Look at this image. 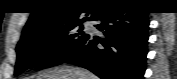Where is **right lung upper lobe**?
Listing matches in <instances>:
<instances>
[{"instance_id":"cb5924a9","label":"right lung upper lobe","mask_w":177,"mask_h":79,"mask_svg":"<svg viewBox=\"0 0 177 79\" xmlns=\"http://www.w3.org/2000/svg\"><path fill=\"white\" fill-rule=\"evenodd\" d=\"M112 6L111 4H92L88 13L91 20L101 10ZM84 8L79 0H39L33 6L31 16L26 23L22 37H25L39 29L73 23L79 20V15ZM87 13V14H88ZM21 37V38H22Z\"/></svg>"}]
</instances>
